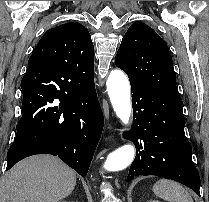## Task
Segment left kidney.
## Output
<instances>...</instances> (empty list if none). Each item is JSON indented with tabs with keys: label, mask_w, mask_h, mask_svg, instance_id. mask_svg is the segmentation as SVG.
<instances>
[{
	"label": "left kidney",
	"mask_w": 209,
	"mask_h": 202,
	"mask_svg": "<svg viewBox=\"0 0 209 202\" xmlns=\"http://www.w3.org/2000/svg\"><path fill=\"white\" fill-rule=\"evenodd\" d=\"M148 202H160V201H158V200H151V201H148Z\"/></svg>",
	"instance_id": "5707ae66"
}]
</instances>
